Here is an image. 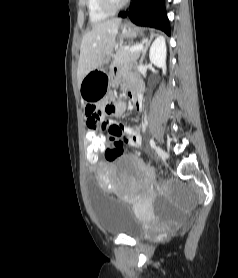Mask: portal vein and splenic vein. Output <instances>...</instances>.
<instances>
[{"mask_svg": "<svg viewBox=\"0 0 238 278\" xmlns=\"http://www.w3.org/2000/svg\"><path fill=\"white\" fill-rule=\"evenodd\" d=\"M142 48H143L142 44H137L130 48V52L140 51Z\"/></svg>", "mask_w": 238, "mask_h": 278, "instance_id": "18ae733b", "label": "portal vein and splenic vein"}]
</instances>
